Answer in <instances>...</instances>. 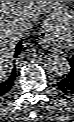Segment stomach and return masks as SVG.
Masks as SVG:
<instances>
[{
  "label": "stomach",
  "instance_id": "stomach-1",
  "mask_svg": "<svg viewBox=\"0 0 74 122\" xmlns=\"http://www.w3.org/2000/svg\"><path fill=\"white\" fill-rule=\"evenodd\" d=\"M55 14L56 17H53L51 19V21L49 22V24H62V23H66L69 20V13L67 12V10L65 8H62L61 6L57 7V9L55 10ZM44 32H46V30L44 29Z\"/></svg>",
  "mask_w": 74,
  "mask_h": 122
}]
</instances>
